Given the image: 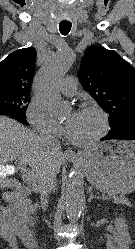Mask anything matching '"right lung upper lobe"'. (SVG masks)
I'll use <instances>...</instances> for the list:
<instances>
[{
	"label": "right lung upper lobe",
	"instance_id": "1",
	"mask_svg": "<svg viewBox=\"0 0 135 249\" xmlns=\"http://www.w3.org/2000/svg\"><path fill=\"white\" fill-rule=\"evenodd\" d=\"M35 60L36 50L28 47L12 52L0 62V91L29 92Z\"/></svg>",
	"mask_w": 135,
	"mask_h": 249
}]
</instances>
